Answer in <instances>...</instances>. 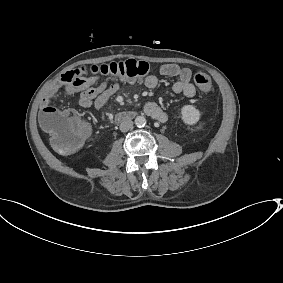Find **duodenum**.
Instances as JSON below:
<instances>
[{"label": "duodenum", "instance_id": "obj_1", "mask_svg": "<svg viewBox=\"0 0 283 283\" xmlns=\"http://www.w3.org/2000/svg\"><path fill=\"white\" fill-rule=\"evenodd\" d=\"M134 117V113H119L115 116V124L126 122Z\"/></svg>", "mask_w": 283, "mask_h": 283}]
</instances>
